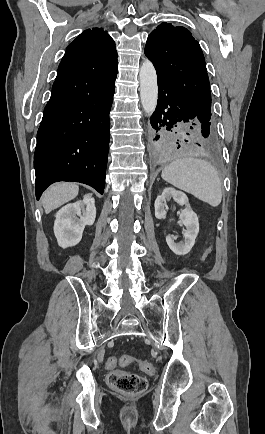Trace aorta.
<instances>
[{"label":"aorta","instance_id":"aorta-1","mask_svg":"<svg viewBox=\"0 0 265 434\" xmlns=\"http://www.w3.org/2000/svg\"><path fill=\"white\" fill-rule=\"evenodd\" d=\"M139 78L142 108L146 116L150 118L156 110L158 100L157 74L150 60L143 62L140 68Z\"/></svg>","mask_w":265,"mask_h":434}]
</instances>
